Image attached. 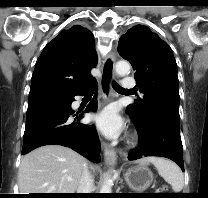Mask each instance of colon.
<instances>
[{
    "mask_svg": "<svg viewBox=\"0 0 208 198\" xmlns=\"http://www.w3.org/2000/svg\"><path fill=\"white\" fill-rule=\"evenodd\" d=\"M160 191H167V188L166 187H161L159 188Z\"/></svg>",
    "mask_w": 208,
    "mask_h": 198,
    "instance_id": "colon-1",
    "label": "colon"
}]
</instances>
